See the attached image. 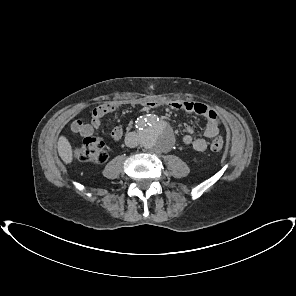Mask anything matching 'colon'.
Here are the masks:
<instances>
[{"label": "colon", "instance_id": "obj_1", "mask_svg": "<svg viewBox=\"0 0 296 296\" xmlns=\"http://www.w3.org/2000/svg\"><path fill=\"white\" fill-rule=\"evenodd\" d=\"M225 142L222 138H216L211 142V150L220 151ZM74 158L81 162L103 164L108 159V151L105 143L97 137H86L74 149Z\"/></svg>", "mask_w": 296, "mask_h": 296}]
</instances>
